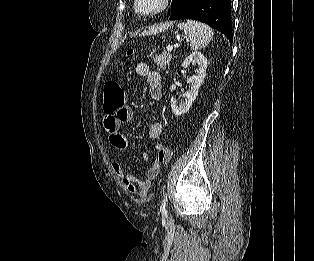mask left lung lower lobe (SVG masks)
<instances>
[{"mask_svg":"<svg viewBox=\"0 0 314 261\" xmlns=\"http://www.w3.org/2000/svg\"><path fill=\"white\" fill-rule=\"evenodd\" d=\"M170 19L204 22L223 33L232 42L231 0H184Z\"/></svg>","mask_w":314,"mask_h":261,"instance_id":"obj_1","label":"left lung lower lobe"}]
</instances>
